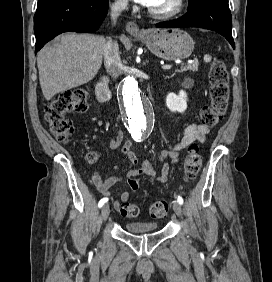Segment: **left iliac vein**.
<instances>
[{
	"label": "left iliac vein",
	"instance_id": "obj_1",
	"mask_svg": "<svg viewBox=\"0 0 272 282\" xmlns=\"http://www.w3.org/2000/svg\"><path fill=\"white\" fill-rule=\"evenodd\" d=\"M173 210L176 213L177 216H181L182 214V208L181 205L178 202L173 203Z\"/></svg>",
	"mask_w": 272,
	"mask_h": 282
}]
</instances>
